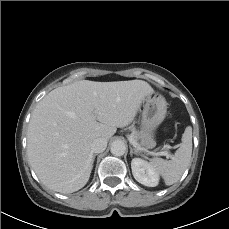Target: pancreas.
<instances>
[{
    "label": "pancreas",
    "mask_w": 229,
    "mask_h": 229,
    "mask_svg": "<svg viewBox=\"0 0 229 229\" xmlns=\"http://www.w3.org/2000/svg\"><path fill=\"white\" fill-rule=\"evenodd\" d=\"M133 140L137 143L138 140L140 139V133L138 131H136L135 129L132 130V133L130 135Z\"/></svg>",
    "instance_id": "pancreas-1"
}]
</instances>
